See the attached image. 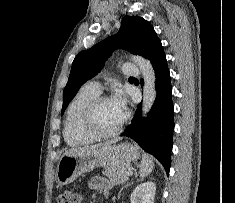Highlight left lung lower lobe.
<instances>
[{"mask_svg": "<svg viewBox=\"0 0 235 203\" xmlns=\"http://www.w3.org/2000/svg\"><path fill=\"white\" fill-rule=\"evenodd\" d=\"M147 59L155 70L157 98L145 119V124H140L142 106L139 104L134 119L120 136L133 139L144 151L157 158L168 175L174 118L170 73L160 40L154 44Z\"/></svg>", "mask_w": 235, "mask_h": 203, "instance_id": "obj_1", "label": "left lung lower lobe"}]
</instances>
